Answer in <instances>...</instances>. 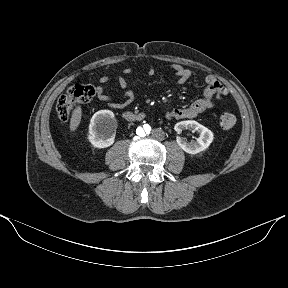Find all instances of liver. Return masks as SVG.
Here are the masks:
<instances>
[{"instance_id":"1","label":"liver","mask_w":288,"mask_h":288,"mask_svg":"<svg viewBox=\"0 0 288 288\" xmlns=\"http://www.w3.org/2000/svg\"><path fill=\"white\" fill-rule=\"evenodd\" d=\"M80 121H81V107L77 106L72 112L70 120V130L75 131L76 128L79 126Z\"/></svg>"}]
</instances>
